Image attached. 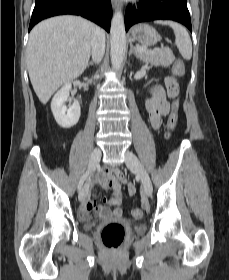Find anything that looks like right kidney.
Instances as JSON below:
<instances>
[{"label": "right kidney", "mask_w": 229, "mask_h": 280, "mask_svg": "<svg viewBox=\"0 0 229 280\" xmlns=\"http://www.w3.org/2000/svg\"><path fill=\"white\" fill-rule=\"evenodd\" d=\"M71 83H66L57 91L51 102V110L53 116L59 126L63 128H71L77 124L80 118L81 109L78 101L73 102L69 108L65 105L69 99V92L71 90Z\"/></svg>", "instance_id": "obj_1"}]
</instances>
